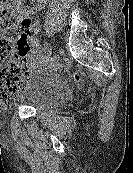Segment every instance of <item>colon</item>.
<instances>
[{
	"mask_svg": "<svg viewBox=\"0 0 133 173\" xmlns=\"http://www.w3.org/2000/svg\"><path fill=\"white\" fill-rule=\"evenodd\" d=\"M31 21L16 18L5 7L0 11V106L13 104L23 90L30 51Z\"/></svg>",
	"mask_w": 133,
	"mask_h": 173,
	"instance_id": "colon-1",
	"label": "colon"
}]
</instances>
